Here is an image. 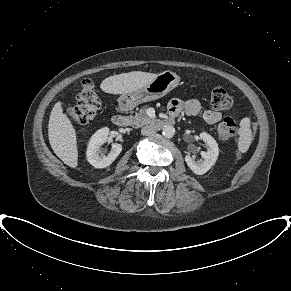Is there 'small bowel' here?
Listing matches in <instances>:
<instances>
[{
	"label": "small bowel",
	"instance_id": "small-bowel-1",
	"mask_svg": "<svg viewBox=\"0 0 291 291\" xmlns=\"http://www.w3.org/2000/svg\"><path fill=\"white\" fill-rule=\"evenodd\" d=\"M168 110L173 116L180 112H184L187 116L193 117L201 113L202 106L197 99H190L187 101L174 99L169 103ZM221 118L222 114L216 110L208 109L203 112V119L208 125H215Z\"/></svg>",
	"mask_w": 291,
	"mask_h": 291
}]
</instances>
